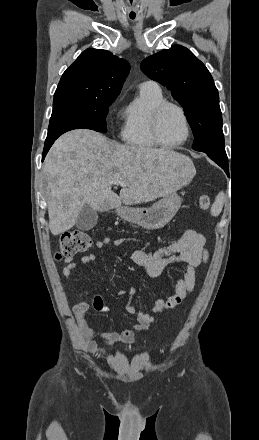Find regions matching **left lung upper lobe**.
I'll return each mask as SVG.
<instances>
[{"mask_svg":"<svg viewBox=\"0 0 259 440\" xmlns=\"http://www.w3.org/2000/svg\"><path fill=\"white\" fill-rule=\"evenodd\" d=\"M141 69L166 86L184 108L195 138L194 150L225 152L218 90L208 69L191 51L174 45L144 59Z\"/></svg>","mask_w":259,"mask_h":440,"instance_id":"5c2ea615","label":"left lung upper lobe"}]
</instances>
